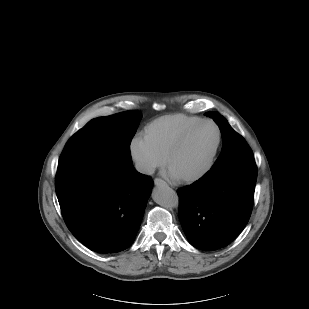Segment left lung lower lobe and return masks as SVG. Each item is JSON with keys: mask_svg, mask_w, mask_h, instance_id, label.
<instances>
[{"mask_svg": "<svg viewBox=\"0 0 309 309\" xmlns=\"http://www.w3.org/2000/svg\"><path fill=\"white\" fill-rule=\"evenodd\" d=\"M256 177L254 156L249 154L178 189L179 219L192 246L216 250L239 235L251 215Z\"/></svg>", "mask_w": 309, "mask_h": 309, "instance_id": "obj_1", "label": "left lung lower lobe"}]
</instances>
